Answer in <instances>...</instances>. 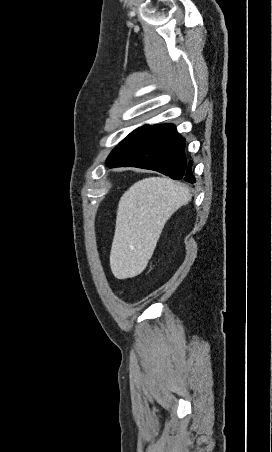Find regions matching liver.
Masks as SVG:
<instances>
[{"instance_id":"obj_1","label":"liver","mask_w":272,"mask_h":452,"mask_svg":"<svg viewBox=\"0 0 272 452\" xmlns=\"http://www.w3.org/2000/svg\"><path fill=\"white\" fill-rule=\"evenodd\" d=\"M188 201V190L164 177L142 179L122 195L110 252L117 279L133 278L145 270L164 225Z\"/></svg>"}]
</instances>
